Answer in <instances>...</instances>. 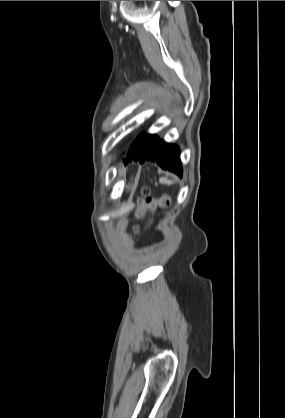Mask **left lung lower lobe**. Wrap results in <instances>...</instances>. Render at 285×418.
<instances>
[{
  "mask_svg": "<svg viewBox=\"0 0 285 418\" xmlns=\"http://www.w3.org/2000/svg\"><path fill=\"white\" fill-rule=\"evenodd\" d=\"M132 160H138L140 163L146 160L156 161L161 168L179 175L182 174L178 146L167 144L159 140L158 137L144 132L130 146L124 162L127 164Z\"/></svg>",
  "mask_w": 285,
  "mask_h": 418,
  "instance_id": "0a47b994",
  "label": "left lung lower lobe"
}]
</instances>
